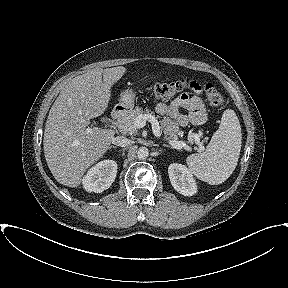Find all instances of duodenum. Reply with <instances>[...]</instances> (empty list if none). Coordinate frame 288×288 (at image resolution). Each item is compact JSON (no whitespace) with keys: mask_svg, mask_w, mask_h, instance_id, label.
I'll use <instances>...</instances> for the list:
<instances>
[{"mask_svg":"<svg viewBox=\"0 0 288 288\" xmlns=\"http://www.w3.org/2000/svg\"><path fill=\"white\" fill-rule=\"evenodd\" d=\"M125 113V109L123 107H116L113 109L111 113V117L113 120L120 119Z\"/></svg>","mask_w":288,"mask_h":288,"instance_id":"410a0bca","label":"duodenum"}]
</instances>
